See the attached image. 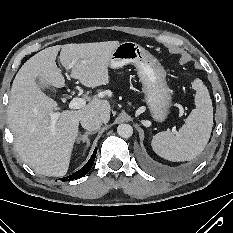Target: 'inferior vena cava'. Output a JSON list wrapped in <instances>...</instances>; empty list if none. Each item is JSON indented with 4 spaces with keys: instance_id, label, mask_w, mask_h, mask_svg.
Instances as JSON below:
<instances>
[{
    "instance_id": "602c4592",
    "label": "inferior vena cava",
    "mask_w": 233,
    "mask_h": 233,
    "mask_svg": "<svg viewBox=\"0 0 233 233\" xmlns=\"http://www.w3.org/2000/svg\"><path fill=\"white\" fill-rule=\"evenodd\" d=\"M81 125L86 130L95 131L101 127L102 120L98 115L89 113L81 118Z\"/></svg>"
}]
</instances>
